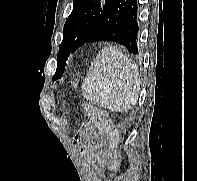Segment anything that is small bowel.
<instances>
[{
    "mask_svg": "<svg viewBox=\"0 0 197 181\" xmlns=\"http://www.w3.org/2000/svg\"><path fill=\"white\" fill-rule=\"evenodd\" d=\"M92 135H93V129H92V127L91 126H86L85 129H84V132H83V134L81 136V139L83 141H87ZM93 155H94V150H93V148H91L87 152V158H88V160L93 159L94 158ZM94 165H95V167H97L98 164H94Z\"/></svg>",
    "mask_w": 197,
    "mask_h": 181,
    "instance_id": "small-bowel-1",
    "label": "small bowel"
}]
</instances>
